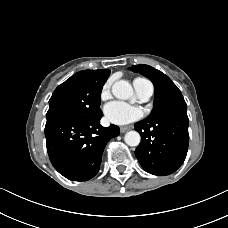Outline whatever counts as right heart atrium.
Listing matches in <instances>:
<instances>
[{
  "mask_svg": "<svg viewBox=\"0 0 228 228\" xmlns=\"http://www.w3.org/2000/svg\"><path fill=\"white\" fill-rule=\"evenodd\" d=\"M111 85H112V81L108 80L105 82V84L103 85L101 92H100V98L102 100H106L110 97L111 95Z\"/></svg>",
  "mask_w": 228,
  "mask_h": 228,
  "instance_id": "right-heart-atrium-1",
  "label": "right heart atrium"
}]
</instances>
